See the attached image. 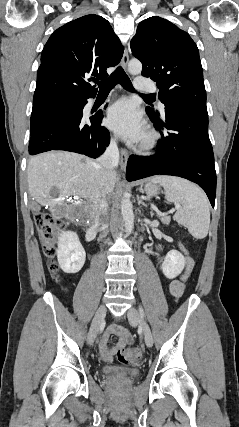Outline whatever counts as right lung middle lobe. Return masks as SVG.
Instances as JSON below:
<instances>
[{
    "label": "right lung middle lobe",
    "mask_w": 239,
    "mask_h": 427,
    "mask_svg": "<svg viewBox=\"0 0 239 427\" xmlns=\"http://www.w3.org/2000/svg\"><path fill=\"white\" fill-rule=\"evenodd\" d=\"M68 97L66 96H50L45 98L33 99V108L31 113V133L37 128L42 119L61 107Z\"/></svg>",
    "instance_id": "right-lung-middle-lobe-1"
}]
</instances>
